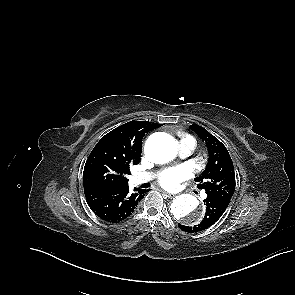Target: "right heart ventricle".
I'll return each instance as SVG.
<instances>
[{
  "label": "right heart ventricle",
  "instance_id": "obj_1",
  "mask_svg": "<svg viewBox=\"0 0 295 295\" xmlns=\"http://www.w3.org/2000/svg\"><path fill=\"white\" fill-rule=\"evenodd\" d=\"M184 140H193L194 141V139L190 135L181 134V141H184Z\"/></svg>",
  "mask_w": 295,
  "mask_h": 295
}]
</instances>
